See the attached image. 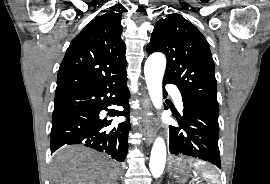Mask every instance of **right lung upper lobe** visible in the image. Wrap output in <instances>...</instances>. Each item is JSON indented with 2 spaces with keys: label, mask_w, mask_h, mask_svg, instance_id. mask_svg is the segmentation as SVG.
Listing matches in <instances>:
<instances>
[{
  "label": "right lung upper lobe",
  "mask_w": 270,
  "mask_h": 184,
  "mask_svg": "<svg viewBox=\"0 0 270 184\" xmlns=\"http://www.w3.org/2000/svg\"><path fill=\"white\" fill-rule=\"evenodd\" d=\"M122 13H103L89 22L72 40L61 62L55 93L104 85L126 76L127 61Z\"/></svg>",
  "instance_id": "1"
}]
</instances>
